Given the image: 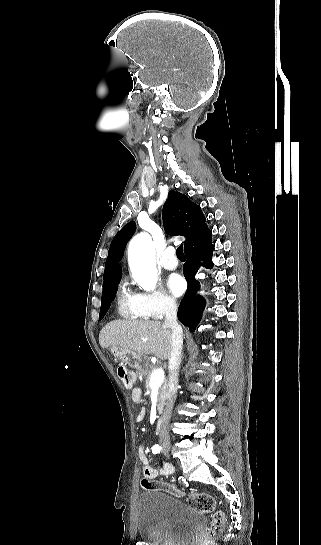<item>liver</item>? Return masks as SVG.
<instances>
[{
	"instance_id": "6515ba94",
	"label": "liver",
	"mask_w": 321,
	"mask_h": 545,
	"mask_svg": "<svg viewBox=\"0 0 321 545\" xmlns=\"http://www.w3.org/2000/svg\"><path fill=\"white\" fill-rule=\"evenodd\" d=\"M172 331L161 321H111L99 335L102 349L121 347L137 355H155L166 361L171 355Z\"/></svg>"
}]
</instances>
